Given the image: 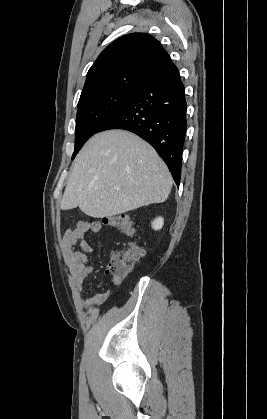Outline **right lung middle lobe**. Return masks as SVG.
Masks as SVG:
<instances>
[{
  "label": "right lung middle lobe",
  "instance_id": "dd1d6c3e",
  "mask_svg": "<svg viewBox=\"0 0 267 419\" xmlns=\"http://www.w3.org/2000/svg\"><path fill=\"white\" fill-rule=\"evenodd\" d=\"M140 85L102 91L80 99L78 102L75 150L72 160L84 143L112 117L138 90Z\"/></svg>",
  "mask_w": 267,
  "mask_h": 419
}]
</instances>
